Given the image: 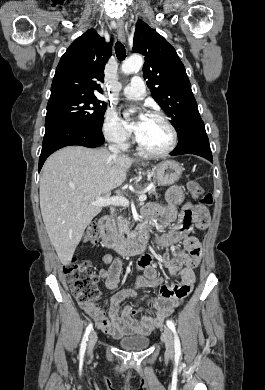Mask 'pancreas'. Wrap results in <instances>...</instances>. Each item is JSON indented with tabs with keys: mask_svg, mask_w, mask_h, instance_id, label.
Segmentation results:
<instances>
[{
	"mask_svg": "<svg viewBox=\"0 0 265 390\" xmlns=\"http://www.w3.org/2000/svg\"><path fill=\"white\" fill-rule=\"evenodd\" d=\"M148 194L157 196L155 186L148 191ZM111 226L120 235L129 234V221L123 215H112Z\"/></svg>",
	"mask_w": 265,
	"mask_h": 390,
	"instance_id": "obj_1",
	"label": "pancreas"
}]
</instances>
